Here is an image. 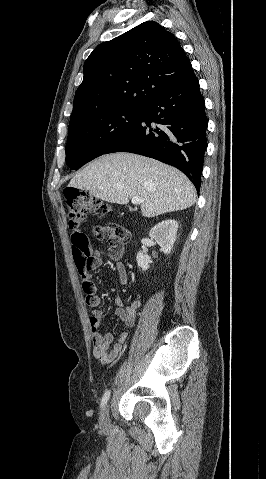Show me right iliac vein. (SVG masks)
Returning a JSON list of instances; mask_svg holds the SVG:
<instances>
[{
    "label": "right iliac vein",
    "mask_w": 266,
    "mask_h": 479,
    "mask_svg": "<svg viewBox=\"0 0 266 479\" xmlns=\"http://www.w3.org/2000/svg\"><path fill=\"white\" fill-rule=\"evenodd\" d=\"M100 427L106 431L109 428V409L108 406H106L100 416V421H99Z\"/></svg>",
    "instance_id": "1"
}]
</instances>
